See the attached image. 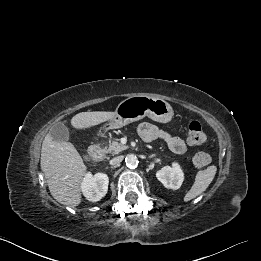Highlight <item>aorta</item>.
I'll list each match as a JSON object with an SVG mask.
<instances>
[{"label":"aorta","instance_id":"1","mask_svg":"<svg viewBox=\"0 0 261 261\" xmlns=\"http://www.w3.org/2000/svg\"><path fill=\"white\" fill-rule=\"evenodd\" d=\"M125 162L129 168H136L138 165V159H137L136 155H134L132 153L127 154V156L125 158Z\"/></svg>","mask_w":261,"mask_h":261}]
</instances>
